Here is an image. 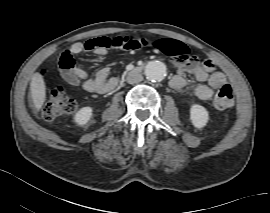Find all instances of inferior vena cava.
I'll return each instance as SVG.
<instances>
[{"label":"inferior vena cava","mask_w":270,"mask_h":213,"mask_svg":"<svg viewBox=\"0 0 270 213\" xmlns=\"http://www.w3.org/2000/svg\"><path fill=\"white\" fill-rule=\"evenodd\" d=\"M143 80V76L138 72H130L127 75V82L129 84H136Z\"/></svg>","instance_id":"inferior-vena-cava-1"}]
</instances>
